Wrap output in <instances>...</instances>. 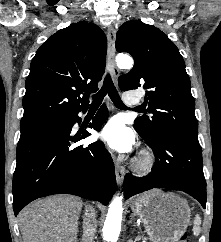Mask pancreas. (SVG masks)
<instances>
[{"label":"pancreas","mask_w":221,"mask_h":242,"mask_svg":"<svg viewBox=\"0 0 221 242\" xmlns=\"http://www.w3.org/2000/svg\"><path fill=\"white\" fill-rule=\"evenodd\" d=\"M142 242H147V241H146V238H144Z\"/></svg>","instance_id":"pancreas-1"}]
</instances>
